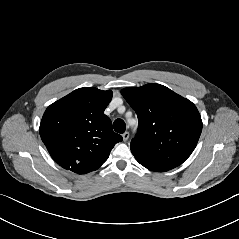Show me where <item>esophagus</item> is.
Here are the masks:
<instances>
[{"mask_svg": "<svg viewBox=\"0 0 239 239\" xmlns=\"http://www.w3.org/2000/svg\"><path fill=\"white\" fill-rule=\"evenodd\" d=\"M122 137H123V141L126 142L129 139V132L123 133Z\"/></svg>", "mask_w": 239, "mask_h": 239, "instance_id": "esophagus-1", "label": "esophagus"}]
</instances>
